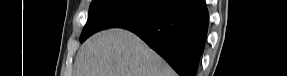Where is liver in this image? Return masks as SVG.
Returning <instances> with one entry per match:
<instances>
[{
	"label": "liver",
	"mask_w": 287,
	"mask_h": 76,
	"mask_svg": "<svg viewBox=\"0 0 287 76\" xmlns=\"http://www.w3.org/2000/svg\"><path fill=\"white\" fill-rule=\"evenodd\" d=\"M74 66L75 76H176L137 35L119 28L87 39Z\"/></svg>",
	"instance_id": "obj_1"
}]
</instances>
